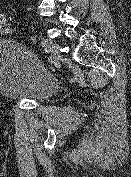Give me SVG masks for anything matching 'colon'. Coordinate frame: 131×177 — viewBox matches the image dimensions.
<instances>
[{
	"label": "colon",
	"instance_id": "5ec220e1",
	"mask_svg": "<svg viewBox=\"0 0 131 177\" xmlns=\"http://www.w3.org/2000/svg\"><path fill=\"white\" fill-rule=\"evenodd\" d=\"M12 33V26L6 15L0 12V36H8Z\"/></svg>",
	"mask_w": 131,
	"mask_h": 177
}]
</instances>
